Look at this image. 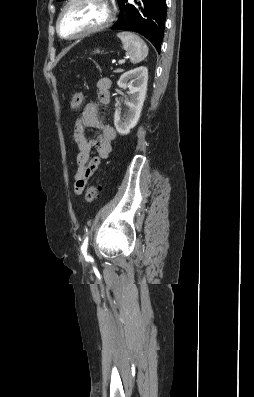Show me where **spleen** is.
Returning <instances> with one entry per match:
<instances>
[{"instance_id": "1", "label": "spleen", "mask_w": 254, "mask_h": 397, "mask_svg": "<svg viewBox=\"0 0 254 397\" xmlns=\"http://www.w3.org/2000/svg\"><path fill=\"white\" fill-rule=\"evenodd\" d=\"M117 36L122 41L123 47L132 63H139L147 57L149 49L138 35L124 31L118 33Z\"/></svg>"}]
</instances>
